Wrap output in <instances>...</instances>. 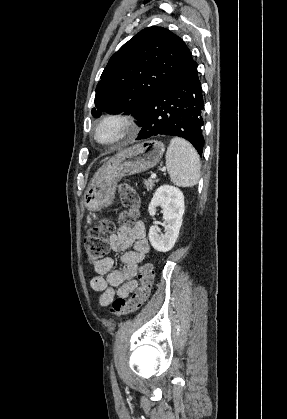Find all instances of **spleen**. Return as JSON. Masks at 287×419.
<instances>
[{
  "label": "spleen",
  "mask_w": 287,
  "mask_h": 419,
  "mask_svg": "<svg viewBox=\"0 0 287 419\" xmlns=\"http://www.w3.org/2000/svg\"><path fill=\"white\" fill-rule=\"evenodd\" d=\"M166 167L171 181L180 187H193L200 178V158L186 140L174 137L166 152Z\"/></svg>",
  "instance_id": "spleen-1"
}]
</instances>
